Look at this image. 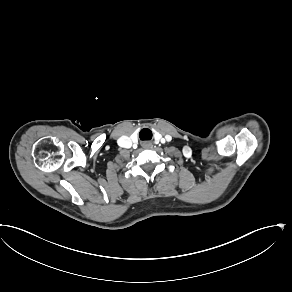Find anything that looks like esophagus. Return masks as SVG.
<instances>
[{
    "label": "esophagus",
    "mask_w": 292,
    "mask_h": 292,
    "mask_svg": "<svg viewBox=\"0 0 292 292\" xmlns=\"http://www.w3.org/2000/svg\"><path fill=\"white\" fill-rule=\"evenodd\" d=\"M146 143H148L150 146H152V143L150 141H146Z\"/></svg>",
    "instance_id": "obj_1"
}]
</instances>
